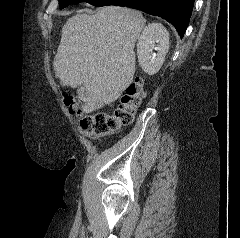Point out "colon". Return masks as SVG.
I'll list each match as a JSON object with an SVG mask.
<instances>
[{"label":"colon","instance_id":"1","mask_svg":"<svg viewBox=\"0 0 240 238\" xmlns=\"http://www.w3.org/2000/svg\"><path fill=\"white\" fill-rule=\"evenodd\" d=\"M145 95V86L141 78H135L121 96L118 106L112 113L85 115L80 100L72 95L65 96V105L72 114L80 116V129L89 137L105 136L119 131L131 124L134 115Z\"/></svg>","mask_w":240,"mask_h":238}]
</instances>
